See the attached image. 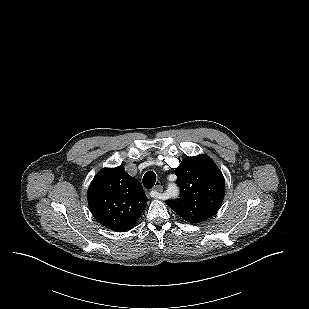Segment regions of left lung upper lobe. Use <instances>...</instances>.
<instances>
[{
	"mask_svg": "<svg viewBox=\"0 0 309 309\" xmlns=\"http://www.w3.org/2000/svg\"><path fill=\"white\" fill-rule=\"evenodd\" d=\"M180 199L166 204L190 223L212 217L220 208L224 194V177L215 163L205 155L188 157L175 169Z\"/></svg>",
	"mask_w": 309,
	"mask_h": 309,
	"instance_id": "obj_1",
	"label": "left lung upper lobe"
}]
</instances>
